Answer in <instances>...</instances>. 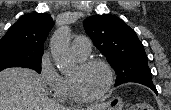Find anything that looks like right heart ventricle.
<instances>
[{"mask_svg": "<svg viewBox=\"0 0 171 110\" xmlns=\"http://www.w3.org/2000/svg\"><path fill=\"white\" fill-rule=\"evenodd\" d=\"M75 57L80 61L84 59L83 57H79L77 55H75ZM54 97L63 102L73 100L70 92L68 77H61L60 84L54 92Z\"/></svg>", "mask_w": 171, "mask_h": 110, "instance_id": "e07e8e85", "label": "right heart ventricle"}]
</instances>
